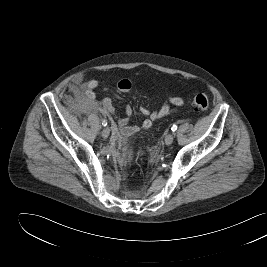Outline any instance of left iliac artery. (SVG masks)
Instances as JSON below:
<instances>
[{
    "label": "left iliac artery",
    "instance_id": "44dca946",
    "mask_svg": "<svg viewBox=\"0 0 267 267\" xmlns=\"http://www.w3.org/2000/svg\"><path fill=\"white\" fill-rule=\"evenodd\" d=\"M171 130L174 132V131H176L177 130V125H173L172 127H171Z\"/></svg>",
    "mask_w": 267,
    "mask_h": 267
}]
</instances>
